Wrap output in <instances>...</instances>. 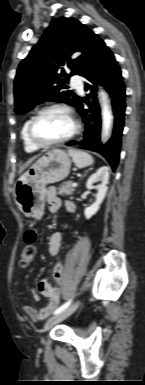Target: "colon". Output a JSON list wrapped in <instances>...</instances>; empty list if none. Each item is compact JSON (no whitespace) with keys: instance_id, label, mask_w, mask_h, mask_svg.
I'll return each mask as SVG.
<instances>
[{"instance_id":"obj_1","label":"colon","mask_w":145,"mask_h":385,"mask_svg":"<svg viewBox=\"0 0 145 385\" xmlns=\"http://www.w3.org/2000/svg\"><path fill=\"white\" fill-rule=\"evenodd\" d=\"M37 241V231L35 229H28L24 234L25 246L23 247L20 259L19 266L21 268H26L34 259L36 254L35 243ZM56 273L61 272V266L57 265L55 268Z\"/></svg>"}]
</instances>
